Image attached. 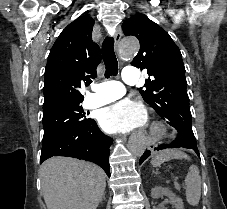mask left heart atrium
<instances>
[{
  "label": "left heart atrium",
  "mask_w": 227,
  "mask_h": 209,
  "mask_svg": "<svg viewBox=\"0 0 227 209\" xmlns=\"http://www.w3.org/2000/svg\"><path fill=\"white\" fill-rule=\"evenodd\" d=\"M98 122L106 132L125 134L146 125L147 111L142 102L126 98L103 108Z\"/></svg>",
  "instance_id": "39dd6f15"
}]
</instances>
